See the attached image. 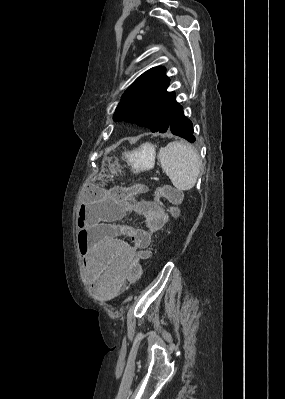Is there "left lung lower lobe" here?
I'll return each instance as SVG.
<instances>
[{
    "label": "left lung lower lobe",
    "instance_id": "obj_1",
    "mask_svg": "<svg viewBox=\"0 0 285 399\" xmlns=\"http://www.w3.org/2000/svg\"><path fill=\"white\" fill-rule=\"evenodd\" d=\"M167 131L180 136L191 143L195 142L192 122L185 117L183 107L180 106V104L171 118Z\"/></svg>",
    "mask_w": 285,
    "mask_h": 399
}]
</instances>
